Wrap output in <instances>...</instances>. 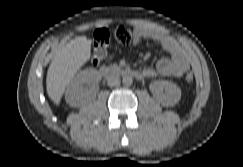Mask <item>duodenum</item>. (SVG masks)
<instances>
[{
    "label": "duodenum",
    "instance_id": "duodenum-1",
    "mask_svg": "<svg viewBox=\"0 0 243 167\" xmlns=\"http://www.w3.org/2000/svg\"><path fill=\"white\" fill-rule=\"evenodd\" d=\"M99 73L103 76L106 77H114L117 75H122V76H128V77H134L137 79H142L145 75L142 71L139 70H133L130 68H125L121 66H103L99 68Z\"/></svg>",
    "mask_w": 243,
    "mask_h": 167
}]
</instances>
